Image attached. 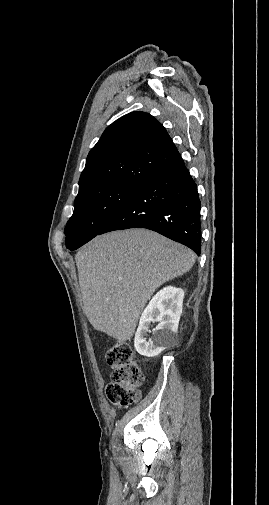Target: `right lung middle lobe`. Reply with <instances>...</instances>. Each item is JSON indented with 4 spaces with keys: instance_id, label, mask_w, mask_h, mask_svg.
Listing matches in <instances>:
<instances>
[{
    "instance_id": "obj_1",
    "label": "right lung middle lobe",
    "mask_w": 269,
    "mask_h": 505,
    "mask_svg": "<svg viewBox=\"0 0 269 505\" xmlns=\"http://www.w3.org/2000/svg\"><path fill=\"white\" fill-rule=\"evenodd\" d=\"M139 187L107 183L78 193L73 215L65 227L66 248L75 250L97 236Z\"/></svg>"
}]
</instances>
